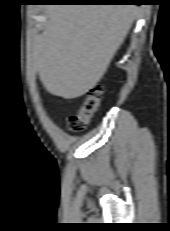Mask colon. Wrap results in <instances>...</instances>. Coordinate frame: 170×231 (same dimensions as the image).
<instances>
[{
  "instance_id": "colon-1",
  "label": "colon",
  "mask_w": 170,
  "mask_h": 231,
  "mask_svg": "<svg viewBox=\"0 0 170 231\" xmlns=\"http://www.w3.org/2000/svg\"><path fill=\"white\" fill-rule=\"evenodd\" d=\"M103 95L104 88L101 85H95L88 90L76 114L69 118L68 128L70 131L79 132L90 123L101 106Z\"/></svg>"
}]
</instances>
